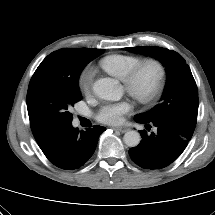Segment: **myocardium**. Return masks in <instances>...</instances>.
I'll list each match as a JSON object with an SVG mask.
<instances>
[{
  "label": "myocardium",
  "instance_id": "1",
  "mask_svg": "<svg viewBox=\"0 0 215 215\" xmlns=\"http://www.w3.org/2000/svg\"><path fill=\"white\" fill-rule=\"evenodd\" d=\"M151 67L155 75L152 86L147 91L139 88L138 81L144 69ZM166 75L163 62L157 58H146L137 63L123 79L126 91L139 103L149 104L160 94Z\"/></svg>",
  "mask_w": 215,
  "mask_h": 215
}]
</instances>
